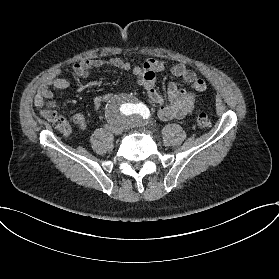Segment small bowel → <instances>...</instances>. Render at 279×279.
Masks as SVG:
<instances>
[{"label":"small bowel","mask_w":279,"mask_h":279,"mask_svg":"<svg viewBox=\"0 0 279 279\" xmlns=\"http://www.w3.org/2000/svg\"><path fill=\"white\" fill-rule=\"evenodd\" d=\"M119 69L126 74H133L137 77L139 84L145 89L150 101L156 107L157 116L162 121L178 119L192 113L199 94L205 91L207 84L198 74L187 67L184 63H178L171 67L170 72L176 77L182 78L190 84L191 90L179 89L176 83H170L167 88V99L156 90V73L165 70V63L156 58H150L139 65L132 66L128 61L119 57H111L106 60L85 59L73 66V73L79 78H86L90 71L102 68ZM60 70H56L48 76L39 86L35 96V105L38 108L54 109L57 102L53 99L52 89L68 91L72 83L70 80L60 77ZM108 95H100L94 98L93 108L101 110ZM73 123L80 129L86 127V119L82 114L72 116Z\"/></svg>","instance_id":"1"}]
</instances>
